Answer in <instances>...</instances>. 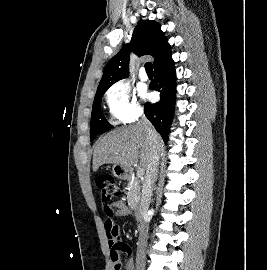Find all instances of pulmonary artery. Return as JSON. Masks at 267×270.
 <instances>
[{
    "mask_svg": "<svg viewBox=\"0 0 267 270\" xmlns=\"http://www.w3.org/2000/svg\"><path fill=\"white\" fill-rule=\"evenodd\" d=\"M139 78H140L142 81H147V80H148V75L146 74L144 68H141V69H140V71H139Z\"/></svg>",
    "mask_w": 267,
    "mask_h": 270,
    "instance_id": "pulmonary-artery-1",
    "label": "pulmonary artery"
}]
</instances>
